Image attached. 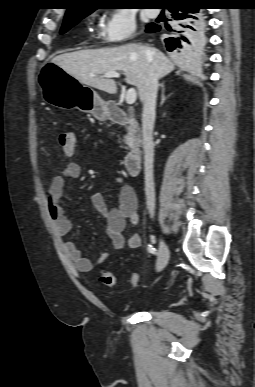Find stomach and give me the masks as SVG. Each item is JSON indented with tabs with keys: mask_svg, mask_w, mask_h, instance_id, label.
I'll list each match as a JSON object with an SVG mask.
<instances>
[{
	"mask_svg": "<svg viewBox=\"0 0 255 387\" xmlns=\"http://www.w3.org/2000/svg\"><path fill=\"white\" fill-rule=\"evenodd\" d=\"M44 100L55 107H76L91 113L96 119L105 121L110 111L94 89L78 82L54 63H49L38 76Z\"/></svg>",
	"mask_w": 255,
	"mask_h": 387,
	"instance_id": "0dacf381",
	"label": "stomach"
}]
</instances>
